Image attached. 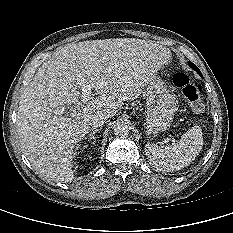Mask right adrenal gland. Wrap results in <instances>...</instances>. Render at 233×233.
I'll return each mask as SVG.
<instances>
[{
  "label": "right adrenal gland",
  "mask_w": 233,
  "mask_h": 233,
  "mask_svg": "<svg viewBox=\"0 0 233 233\" xmlns=\"http://www.w3.org/2000/svg\"><path fill=\"white\" fill-rule=\"evenodd\" d=\"M101 130V127L100 128H98V129H95L93 132H91L90 134H88V138H89V140H93V142H92V144H94L95 143V141H96V137H95V134L98 132V131H100Z\"/></svg>",
  "instance_id": "1"
}]
</instances>
